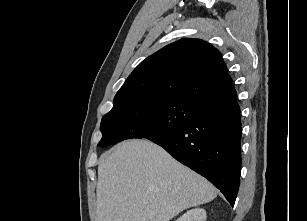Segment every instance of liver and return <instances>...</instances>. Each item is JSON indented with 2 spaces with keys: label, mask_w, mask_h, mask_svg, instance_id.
Returning <instances> with one entry per match:
<instances>
[{
  "label": "liver",
  "mask_w": 307,
  "mask_h": 221,
  "mask_svg": "<svg viewBox=\"0 0 307 221\" xmlns=\"http://www.w3.org/2000/svg\"><path fill=\"white\" fill-rule=\"evenodd\" d=\"M96 194L97 221H170L217 191L160 146L133 139L100 156Z\"/></svg>",
  "instance_id": "obj_1"
}]
</instances>
